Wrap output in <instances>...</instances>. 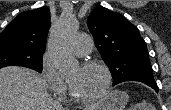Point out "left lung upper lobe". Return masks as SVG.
Listing matches in <instances>:
<instances>
[{
    "mask_svg": "<svg viewBox=\"0 0 171 110\" xmlns=\"http://www.w3.org/2000/svg\"><path fill=\"white\" fill-rule=\"evenodd\" d=\"M88 28L109 67L113 85L124 81H155L145 41L124 16L98 5Z\"/></svg>",
    "mask_w": 171,
    "mask_h": 110,
    "instance_id": "1",
    "label": "left lung upper lobe"
}]
</instances>
